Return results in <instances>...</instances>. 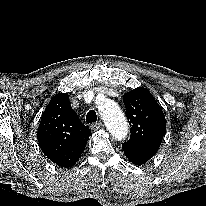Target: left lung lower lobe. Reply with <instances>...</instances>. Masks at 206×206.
I'll list each match as a JSON object with an SVG mask.
<instances>
[{"instance_id":"0a47b994","label":"left lung lower lobe","mask_w":206,"mask_h":206,"mask_svg":"<svg viewBox=\"0 0 206 206\" xmlns=\"http://www.w3.org/2000/svg\"><path fill=\"white\" fill-rule=\"evenodd\" d=\"M126 157L136 165H143L149 159H151L154 154L148 152H138L133 150H124Z\"/></svg>"}]
</instances>
